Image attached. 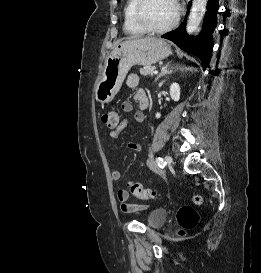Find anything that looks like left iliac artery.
I'll return each mask as SVG.
<instances>
[{
	"label": "left iliac artery",
	"mask_w": 261,
	"mask_h": 273,
	"mask_svg": "<svg viewBox=\"0 0 261 273\" xmlns=\"http://www.w3.org/2000/svg\"><path fill=\"white\" fill-rule=\"evenodd\" d=\"M156 162L160 168H164V166L166 165V162L161 157L156 158Z\"/></svg>",
	"instance_id": "obj_1"
}]
</instances>
